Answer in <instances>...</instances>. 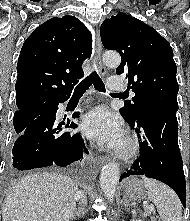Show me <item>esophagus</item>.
Here are the masks:
<instances>
[{
	"label": "esophagus",
	"instance_id": "obj_1",
	"mask_svg": "<svg viewBox=\"0 0 190 221\" xmlns=\"http://www.w3.org/2000/svg\"><path fill=\"white\" fill-rule=\"evenodd\" d=\"M101 54H102V43H101L99 32L97 30L95 40H94V61L96 62L101 75L105 76L107 74V70L102 63ZM99 161L101 163H108L110 161V158L107 156H101L99 158Z\"/></svg>",
	"mask_w": 190,
	"mask_h": 221
}]
</instances>
